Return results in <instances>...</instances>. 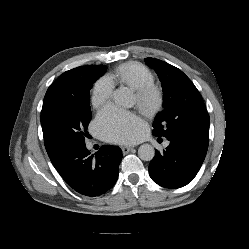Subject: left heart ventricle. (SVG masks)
I'll use <instances>...</instances> for the list:
<instances>
[{
	"mask_svg": "<svg viewBox=\"0 0 249 249\" xmlns=\"http://www.w3.org/2000/svg\"><path fill=\"white\" fill-rule=\"evenodd\" d=\"M134 103H136V97L134 96Z\"/></svg>",
	"mask_w": 249,
	"mask_h": 249,
	"instance_id": "left-heart-ventricle-1",
	"label": "left heart ventricle"
}]
</instances>
